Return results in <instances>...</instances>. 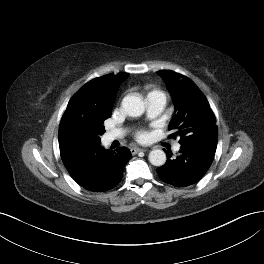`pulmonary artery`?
Listing matches in <instances>:
<instances>
[{
	"label": "pulmonary artery",
	"instance_id": "1",
	"mask_svg": "<svg viewBox=\"0 0 264 264\" xmlns=\"http://www.w3.org/2000/svg\"><path fill=\"white\" fill-rule=\"evenodd\" d=\"M147 116L155 118L162 113L166 105V96L159 91L151 92L146 97ZM124 131L121 129L110 131L106 134V142H111L123 135ZM180 145L176 144L174 150H179Z\"/></svg>",
	"mask_w": 264,
	"mask_h": 264
}]
</instances>
